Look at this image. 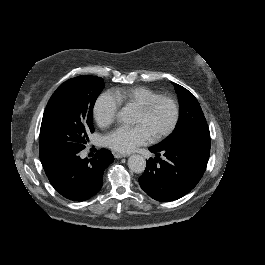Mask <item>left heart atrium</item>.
Here are the masks:
<instances>
[{
    "label": "left heart atrium",
    "mask_w": 265,
    "mask_h": 265,
    "mask_svg": "<svg viewBox=\"0 0 265 265\" xmlns=\"http://www.w3.org/2000/svg\"><path fill=\"white\" fill-rule=\"evenodd\" d=\"M152 136L144 125L119 126L105 137L106 145L115 151L129 153L138 146L149 143Z\"/></svg>",
    "instance_id": "1"
}]
</instances>
